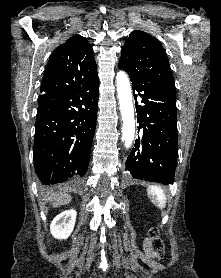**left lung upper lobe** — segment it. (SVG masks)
I'll list each match as a JSON object with an SVG mask.
<instances>
[{"mask_svg":"<svg viewBox=\"0 0 221 278\" xmlns=\"http://www.w3.org/2000/svg\"><path fill=\"white\" fill-rule=\"evenodd\" d=\"M119 67L129 77L163 86L176 93L169 61L162 45L143 31H133L122 47Z\"/></svg>","mask_w":221,"mask_h":278,"instance_id":"5c2ea615","label":"left lung upper lobe"}]
</instances>
